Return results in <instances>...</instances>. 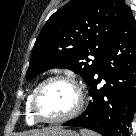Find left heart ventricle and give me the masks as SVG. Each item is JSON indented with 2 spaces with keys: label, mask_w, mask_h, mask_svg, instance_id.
<instances>
[{
  "label": "left heart ventricle",
  "mask_w": 136,
  "mask_h": 136,
  "mask_svg": "<svg viewBox=\"0 0 136 136\" xmlns=\"http://www.w3.org/2000/svg\"><path fill=\"white\" fill-rule=\"evenodd\" d=\"M76 92L62 81L49 83L37 100V111L45 118H58L70 112L76 104Z\"/></svg>",
  "instance_id": "obj_1"
}]
</instances>
